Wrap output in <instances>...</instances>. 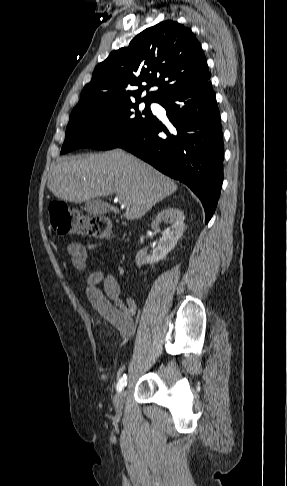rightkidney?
<instances>
[{
	"mask_svg": "<svg viewBox=\"0 0 287 486\" xmlns=\"http://www.w3.org/2000/svg\"><path fill=\"white\" fill-rule=\"evenodd\" d=\"M184 219V213L180 209L173 207L163 209L157 214L151 223L153 230L159 231L161 223H170L171 226L162 232L158 246L153 250L151 256H148L143 250L137 253L135 262L139 268L144 264L157 263L167 256L183 234Z\"/></svg>",
	"mask_w": 287,
	"mask_h": 486,
	"instance_id": "right-kidney-1",
	"label": "right kidney"
}]
</instances>
